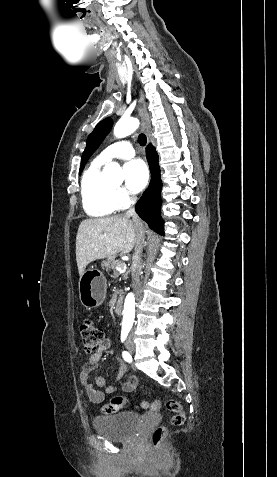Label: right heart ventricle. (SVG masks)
I'll return each mask as SVG.
<instances>
[{"instance_id":"right-heart-ventricle-1","label":"right heart ventricle","mask_w":277,"mask_h":477,"mask_svg":"<svg viewBox=\"0 0 277 477\" xmlns=\"http://www.w3.org/2000/svg\"><path fill=\"white\" fill-rule=\"evenodd\" d=\"M103 165L104 162L95 159L81 179L82 206L91 217H106L118 208L114 196L115 189L103 175Z\"/></svg>"}]
</instances>
